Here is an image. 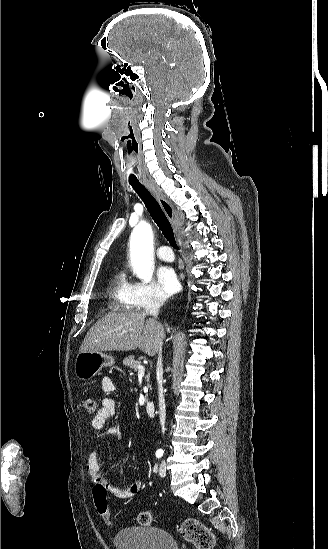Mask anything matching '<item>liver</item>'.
Instances as JSON below:
<instances>
[{"label": "liver", "mask_w": 328, "mask_h": 549, "mask_svg": "<svg viewBox=\"0 0 328 549\" xmlns=\"http://www.w3.org/2000/svg\"><path fill=\"white\" fill-rule=\"evenodd\" d=\"M145 317L143 311L108 313L88 331L80 347V353L133 351L138 347L149 357H154L161 339L165 337V329L159 321Z\"/></svg>", "instance_id": "1"}]
</instances>
